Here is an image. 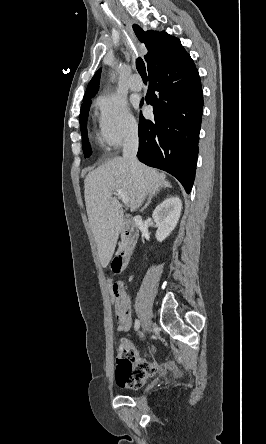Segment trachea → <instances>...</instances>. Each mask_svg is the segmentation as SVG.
<instances>
[{"label":"trachea","instance_id":"trachea-1","mask_svg":"<svg viewBox=\"0 0 266 444\" xmlns=\"http://www.w3.org/2000/svg\"><path fill=\"white\" fill-rule=\"evenodd\" d=\"M136 68L142 79H147L145 63L141 58L136 59Z\"/></svg>","mask_w":266,"mask_h":444}]
</instances>
